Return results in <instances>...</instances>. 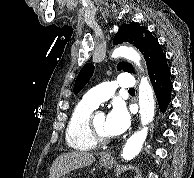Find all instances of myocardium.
Listing matches in <instances>:
<instances>
[{
  "instance_id": "1",
  "label": "myocardium",
  "mask_w": 194,
  "mask_h": 178,
  "mask_svg": "<svg viewBox=\"0 0 194 178\" xmlns=\"http://www.w3.org/2000/svg\"><path fill=\"white\" fill-rule=\"evenodd\" d=\"M97 113L99 112H92L89 116V119H88L89 130L93 140L97 144H106L110 141L109 137L107 135H103L102 133H100L94 123V117Z\"/></svg>"
}]
</instances>
